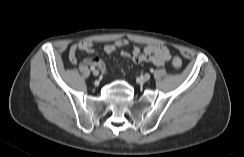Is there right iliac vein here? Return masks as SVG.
<instances>
[{"mask_svg": "<svg viewBox=\"0 0 244 157\" xmlns=\"http://www.w3.org/2000/svg\"><path fill=\"white\" fill-rule=\"evenodd\" d=\"M93 75L97 77L99 75V71L97 70L93 71Z\"/></svg>", "mask_w": 244, "mask_h": 157, "instance_id": "63e3f726", "label": "right iliac vein"}]
</instances>
